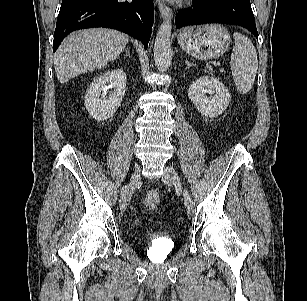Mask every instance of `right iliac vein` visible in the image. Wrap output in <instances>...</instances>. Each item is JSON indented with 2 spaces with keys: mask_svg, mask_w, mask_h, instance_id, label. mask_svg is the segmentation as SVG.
Here are the masks:
<instances>
[{
  "mask_svg": "<svg viewBox=\"0 0 307 301\" xmlns=\"http://www.w3.org/2000/svg\"><path fill=\"white\" fill-rule=\"evenodd\" d=\"M139 181H140V167H136L135 171L131 175L129 187L127 188V190L125 191L124 195L120 200L121 210H125L127 208L132 195V191L134 190L135 186L138 184Z\"/></svg>",
  "mask_w": 307,
  "mask_h": 301,
  "instance_id": "1",
  "label": "right iliac vein"
}]
</instances>
